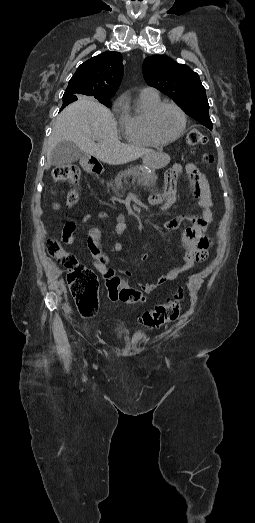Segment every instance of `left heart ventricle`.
Instances as JSON below:
<instances>
[{
	"label": "left heart ventricle",
	"mask_w": 255,
	"mask_h": 523,
	"mask_svg": "<svg viewBox=\"0 0 255 523\" xmlns=\"http://www.w3.org/2000/svg\"><path fill=\"white\" fill-rule=\"evenodd\" d=\"M182 119L178 111L170 106L163 107L154 120L156 133L164 139L174 137L180 130Z\"/></svg>",
	"instance_id": "b2bd125f"
}]
</instances>
